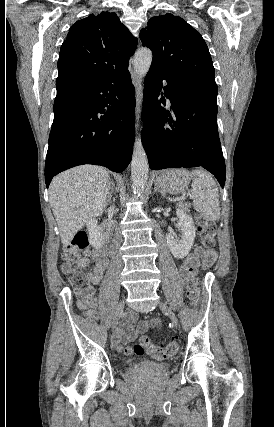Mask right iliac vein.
Instances as JSON below:
<instances>
[{"instance_id": "right-iliac-vein-1", "label": "right iliac vein", "mask_w": 274, "mask_h": 427, "mask_svg": "<svg viewBox=\"0 0 274 427\" xmlns=\"http://www.w3.org/2000/svg\"><path fill=\"white\" fill-rule=\"evenodd\" d=\"M124 308H125V300H122L118 305V308H117V311H116V314H115V317L113 320V326H112L113 330H115L117 328L118 322L122 316ZM115 339H116V334L113 332V337H112L113 343H114Z\"/></svg>"}]
</instances>
